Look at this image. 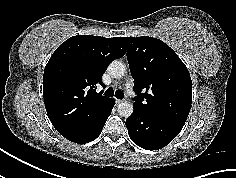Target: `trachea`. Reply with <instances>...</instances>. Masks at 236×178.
<instances>
[{
	"mask_svg": "<svg viewBox=\"0 0 236 178\" xmlns=\"http://www.w3.org/2000/svg\"><path fill=\"white\" fill-rule=\"evenodd\" d=\"M104 95L112 97L115 96L118 99H123L124 93L121 90H116L114 92L113 88L109 87L105 92Z\"/></svg>",
	"mask_w": 236,
	"mask_h": 178,
	"instance_id": "1",
	"label": "trachea"
}]
</instances>
